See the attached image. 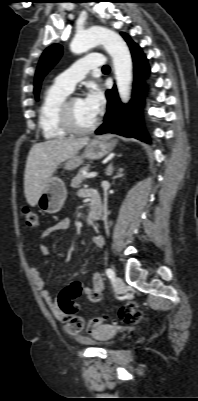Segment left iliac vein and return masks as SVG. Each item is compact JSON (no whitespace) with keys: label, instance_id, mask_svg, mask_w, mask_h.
<instances>
[{"label":"left iliac vein","instance_id":"4c4485c4","mask_svg":"<svg viewBox=\"0 0 198 401\" xmlns=\"http://www.w3.org/2000/svg\"><path fill=\"white\" fill-rule=\"evenodd\" d=\"M114 283H115V288H116V290H117L118 292H122L123 289H124V282H123V280H122L120 277L116 276V277L114 278Z\"/></svg>","mask_w":198,"mask_h":401}]
</instances>
